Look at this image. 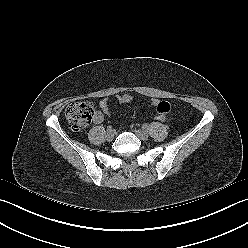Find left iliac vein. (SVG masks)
Segmentation results:
<instances>
[{"label":"left iliac vein","instance_id":"left-iliac-vein-1","mask_svg":"<svg viewBox=\"0 0 248 248\" xmlns=\"http://www.w3.org/2000/svg\"><path fill=\"white\" fill-rule=\"evenodd\" d=\"M134 132L142 140H147L149 137L148 133L142 129H135Z\"/></svg>","mask_w":248,"mask_h":248}]
</instances>
